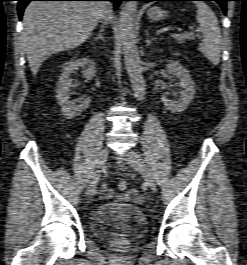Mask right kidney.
I'll return each mask as SVG.
<instances>
[{
    "label": "right kidney",
    "mask_w": 247,
    "mask_h": 265,
    "mask_svg": "<svg viewBox=\"0 0 247 265\" xmlns=\"http://www.w3.org/2000/svg\"><path fill=\"white\" fill-rule=\"evenodd\" d=\"M83 68V76L87 80H91L95 77L96 68L92 60L88 58H80L70 62L63 69V72L57 83L56 98L59 106L61 107L63 116L66 119H72L80 115L90 105L91 99L85 98L78 102L69 100V89L72 83L70 78L74 70Z\"/></svg>",
    "instance_id": "right-kidney-1"
}]
</instances>
